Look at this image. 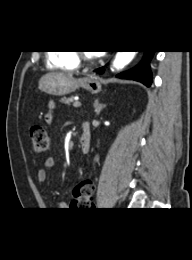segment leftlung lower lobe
<instances>
[{
  "mask_svg": "<svg viewBox=\"0 0 192 260\" xmlns=\"http://www.w3.org/2000/svg\"><path fill=\"white\" fill-rule=\"evenodd\" d=\"M154 51H145L142 61L130 71L118 74V78L133 79L139 81L150 87L152 83V73L150 71V60L152 59ZM103 68L98 69V73H102Z\"/></svg>",
  "mask_w": 192,
  "mask_h": 260,
  "instance_id": "obj_1",
  "label": "left lung lower lobe"
}]
</instances>
